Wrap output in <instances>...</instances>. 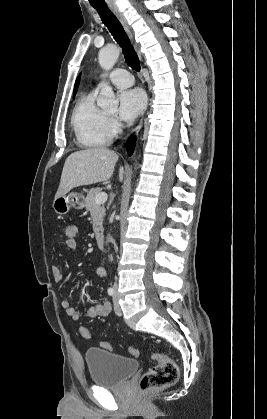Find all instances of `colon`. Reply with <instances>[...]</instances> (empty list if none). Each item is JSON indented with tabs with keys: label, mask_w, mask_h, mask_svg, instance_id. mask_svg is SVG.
<instances>
[{
	"label": "colon",
	"mask_w": 267,
	"mask_h": 419,
	"mask_svg": "<svg viewBox=\"0 0 267 419\" xmlns=\"http://www.w3.org/2000/svg\"><path fill=\"white\" fill-rule=\"evenodd\" d=\"M63 233L66 245H77V228L75 225L66 224L64 226ZM80 334L86 339L90 337V331L86 327H82L80 329ZM102 347L109 351L113 350V346L109 342H103ZM129 352L134 357L138 356V350L134 347H129ZM151 358L156 362V365L145 372L140 378V390H156L175 384L180 373L177 363L170 357L160 352H154Z\"/></svg>",
	"instance_id": "colon-1"
}]
</instances>
